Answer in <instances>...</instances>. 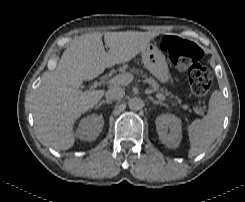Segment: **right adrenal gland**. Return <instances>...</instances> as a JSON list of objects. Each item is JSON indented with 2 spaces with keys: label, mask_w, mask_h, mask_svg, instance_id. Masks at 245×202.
<instances>
[{
  "label": "right adrenal gland",
  "mask_w": 245,
  "mask_h": 202,
  "mask_svg": "<svg viewBox=\"0 0 245 202\" xmlns=\"http://www.w3.org/2000/svg\"><path fill=\"white\" fill-rule=\"evenodd\" d=\"M112 102L111 101H109V100H102L97 106H96V108H99V107H101L102 105H104V104H111Z\"/></svg>",
  "instance_id": "obj_1"
}]
</instances>
